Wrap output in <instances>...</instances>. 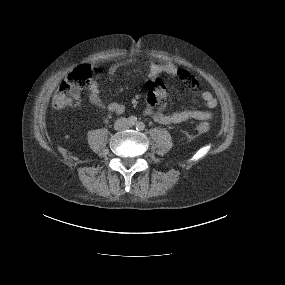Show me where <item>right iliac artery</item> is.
Here are the masks:
<instances>
[{
  "mask_svg": "<svg viewBox=\"0 0 285 285\" xmlns=\"http://www.w3.org/2000/svg\"><path fill=\"white\" fill-rule=\"evenodd\" d=\"M129 124H130V125L136 124V117H133V116L130 117V118H129Z\"/></svg>",
  "mask_w": 285,
  "mask_h": 285,
  "instance_id": "right-iliac-artery-1",
  "label": "right iliac artery"
}]
</instances>
